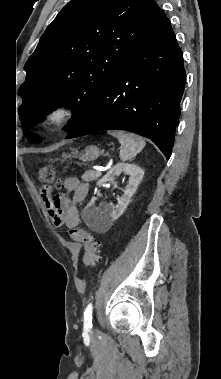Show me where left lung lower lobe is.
<instances>
[{"label": "left lung lower lobe", "mask_w": 221, "mask_h": 379, "mask_svg": "<svg viewBox=\"0 0 221 379\" xmlns=\"http://www.w3.org/2000/svg\"><path fill=\"white\" fill-rule=\"evenodd\" d=\"M185 76L182 51L163 13L66 139L101 130H126L151 139L169 159Z\"/></svg>", "instance_id": "1"}]
</instances>
